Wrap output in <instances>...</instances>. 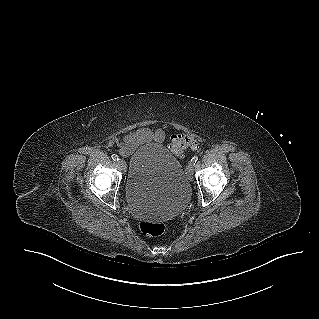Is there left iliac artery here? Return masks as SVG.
Instances as JSON below:
<instances>
[{"label": "left iliac artery", "mask_w": 319, "mask_h": 319, "mask_svg": "<svg viewBox=\"0 0 319 319\" xmlns=\"http://www.w3.org/2000/svg\"><path fill=\"white\" fill-rule=\"evenodd\" d=\"M198 161V156H194L192 159H191V163L193 165H195V163Z\"/></svg>", "instance_id": "obj_1"}]
</instances>
